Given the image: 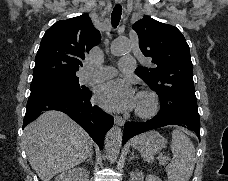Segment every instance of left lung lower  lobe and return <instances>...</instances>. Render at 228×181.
<instances>
[{"label": "left lung lower lobe", "mask_w": 228, "mask_h": 181, "mask_svg": "<svg viewBox=\"0 0 228 181\" xmlns=\"http://www.w3.org/2000/svg\"><path fill=\"white\" fill-rule=\"evenodd\" d=\"M167 125H179L192 129L200 138V120L189 116L163 117L159 113L146 122H127L124 127L123 144L134 135Z\"/></svg>", "instance_id": "obj_1"}]
</instances>
